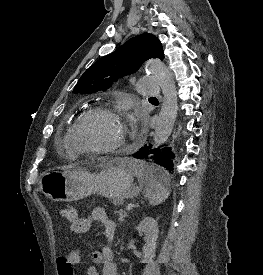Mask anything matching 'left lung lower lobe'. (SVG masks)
Masks as SVG:
<instances>
[{
    "mask_svg": "<svg viewBox=\"0 0 263 275\" xmlns=\"http://www.w3.org/2000/svg\"><path fill=\"white\" fill-rule=\"evenodd\" d=\"M137 159H150L153 163L159 165V169L151 168L149 174L155 178H165L167 176L166 171L173 170L174 154L170 148H155L152 149V145L149 144L141 147L136 153L133 154Z\"/></svg>",
    "mask_w": 263,
    "mask_h": 275,
    "instance_id": "obj_1",
    "label": "left lung lower lobe"
}]
</instances>
